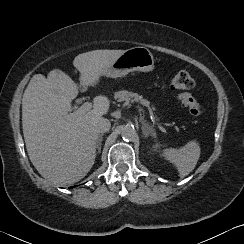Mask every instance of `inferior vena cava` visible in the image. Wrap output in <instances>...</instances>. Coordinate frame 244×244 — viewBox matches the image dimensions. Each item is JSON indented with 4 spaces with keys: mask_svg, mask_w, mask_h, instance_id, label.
Wrapping results in <instances>:
<instances>
[{
    "mask_svg": "<svg viewBox=\"0 0 244 244\" xmlns=\"http://www.w3.org/2000/svg\"><path fill=\"white\" fill-rule=\"evenodd\" d=\"M94 126L98 133H100V132L104 133V132L109 131V129L111 127V123L108 119H106L104 117H100L95 121Z\"/></svg>",
    "mask_w": 244,
    "mask_h": 244,
    "instance_id": "obj_1",
    "label": "inferior vena cava"
}]
</instances>
